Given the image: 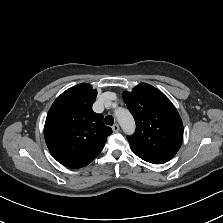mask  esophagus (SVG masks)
I'll return each instance as SVG.
<instances>
[{
  "label": "esophagus",
  "instance_id": "1",
  "mask_svg": "<svg viewBox=\"0 0 223 223\" xmlns=\"http://www.w3.org/2000/svg\"><path fill=\"white\" fill-rule=\"evenodd\" d=\"M112 130H113V132L117 133V132L120 130L119 125H118L117 123L114 124V125L112 126Z\"/></svg>",
  "mask_w": 223,
  "mask_h": 223
}]
</instances>
